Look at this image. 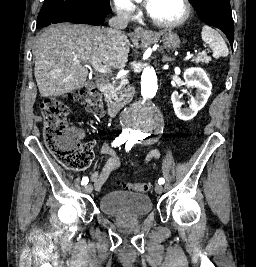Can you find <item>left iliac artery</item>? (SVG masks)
Instances as JSON below:
<instances>
[{
  "instance_id": "left-iliac-artery-1",
  "label": "left iliac artery",
  "mask_w": 256,
  "mask_h": 267,
  "mask_svg": "<svg viewBox=\"0 0 256 267\" xmlns=\"http://www.w3.org/2000/svg\"><path fill=\"white\" fill-rule=\"evenodd\" d=\"M135 143L136 142L133 141L132 139H128V142L126 143V147H125L126 148V152L129 151ZM158 183L159 184H164L165 183L164 178H159Z\"/></svg>"
}]
</instances>
